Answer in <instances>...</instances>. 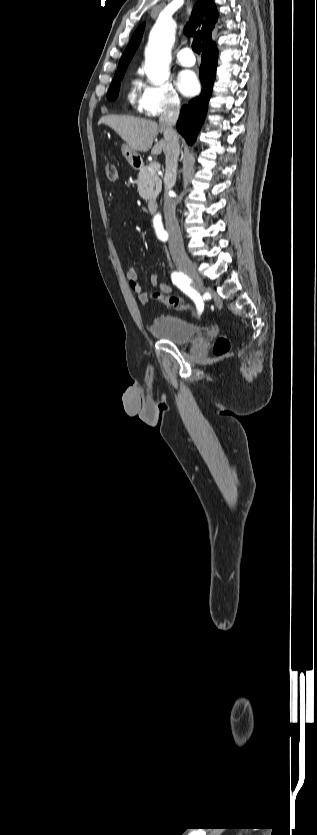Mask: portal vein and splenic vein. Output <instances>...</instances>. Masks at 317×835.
I'll use <instances>...</instances> for the list:
<instances>
[{
	"mask_svg": "<svg viewBox=\"0 0 317 835\" xmlns=\"http://www.w3.org/2000/svg\"><path fill=\"white\" fill-rule=\"evenodd\" d=\"M159 169H160V164L157 163V162L151 163L148 167L149 171H158Z\"/></svg>",
	"mask_w": 317,
	"mask_h": 835,
	"instance_id": "portal-vein-and-splenic-vein-1",
	"label": "portal vein and splenic vein"
}]
</instances>
